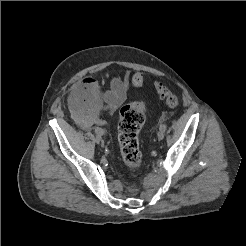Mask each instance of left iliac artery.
Masks as SVG:
<instances>
[{"label":"left iliac artery","mask_w":246,"mask_h":246,"mask_svg":"<svg viewBox=\"0 0 246 246\" xmlns=\"http://www.w3.org/2000/svg\"><path fill=\"white\" fill-rule=\"evenodd\" d=\"M167 126L165 124L160 125V130L165 131Z\"/></svg>","instance_id":"44dca946"}]
</instances>
